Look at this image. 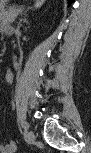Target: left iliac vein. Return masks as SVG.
I'll return each instance as SVG.
<instances>
[{
	"label": "left iliac vein",
	"instance_id": "1",
	"mask_svg": "<svg viewBox=\"0 0 91 153\" xmlns=\"http://www.w3.org/2000/svg\"><path fill=\"white\" fill-rule=\"evenodd\" d=\"M29 142L34 143L36 140L35 134L32 131H28Z\"/></svg>",
	"mask_w": 91,
	"mask_h": 153
}]
</instances>
